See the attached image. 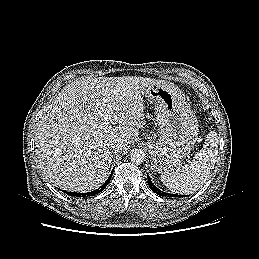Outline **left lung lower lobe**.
Segmentation results:
<instances>
[{
    "instance_id": "0a47b994",
    "label": "left lung lower lobe",
    "mask_w": 259,
    "mask_h": 259,
    "mask_svg": "<svg viewBox=\"0 0 259 259\" xmlns=\"http://www.w3.org/2000/svg\"><path fill=\"white\" fill-rule=\"evenodd\" d=\"M148 185L150 187V189L155 192L157 195H160V196H167V197H177V195H174V194H169V193H165L161 190H159L157 187H155L151 181V179L149 178L148 176ZM182 197H184V195H182Z\"/></svg>"
}]
</instances>
